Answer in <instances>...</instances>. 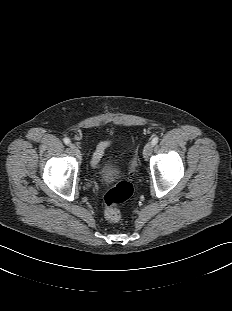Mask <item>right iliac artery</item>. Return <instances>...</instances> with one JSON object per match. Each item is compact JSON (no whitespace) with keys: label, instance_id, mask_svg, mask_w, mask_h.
I'll use <instances>...</instances> for the list:
<instances>
[{"label":"right iliac artery","instance_id":"1","mask_svg":"<svg viewBox=\"0 0 232 311\" xmlns=\"http://www.w3.org/2000/svg\"><path fill=\"white\" fill-rule=\"evenodd\" d=\"M63 141H64V143H65L66 145H69V144L71 143L70 139L67 138V137L64 138Z\"/></svg>","mask_w":232,"mask_h":311}]
</instances>
